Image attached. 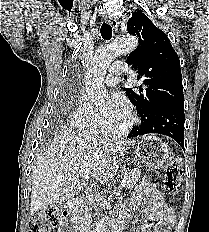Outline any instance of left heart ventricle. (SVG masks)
<instances>
[{
	"instance_id": "left-heart-ventricle-1",
	"label": "left heart ventricle",
	"mask_w": 209,
	"mask_h": 232,
	"mask_svg": "<svg viewBox=\"0 0 209 232\" xmlns=\"http://www.w3.org/2000/svg\"><path fill=\"white\" fill-rule=\"evenodd\" d=\"M127 120H128V116L117 121V122H113L111 126H113V127L121 126V125L125 124L127 122Z\"/></svg>"
}]
</instances>
